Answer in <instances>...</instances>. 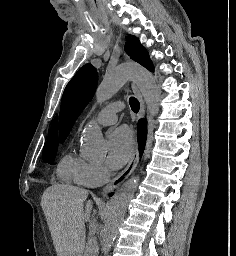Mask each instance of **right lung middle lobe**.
<instances>
[{
    "label": "right lung middle lobe",
    "mask_w": 236,
    "mask_h": 256,
    "mask_svg": "<svg viewBox=\"0 0 236 256\" xmlns=\"http://www.w3.org/2000/svg\"><path fill=\"white\" fill-rule=\"evenodd\" d=\"M58 148V142H46L43 148V161L45 163L52 164L54 162L56 152Z\"/></svg>",
    "instance_id": "obj_1"
}]
</instances>
